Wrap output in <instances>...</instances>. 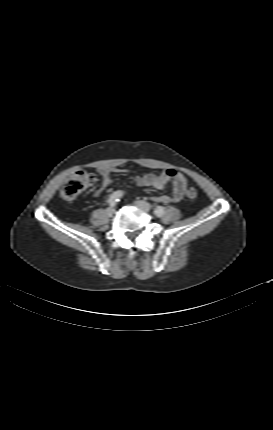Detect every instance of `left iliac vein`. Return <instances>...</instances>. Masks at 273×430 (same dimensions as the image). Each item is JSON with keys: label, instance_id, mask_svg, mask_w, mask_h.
<instances>
[{"label": "left iliac vein", "instance_id": "left-iliac-vein-1", "mask_svg": "<svg viewBox=\"0 0 273 430\" xmlns=\"http://www.w3.org/2000/svg\"><path fill=\"white\" fill-rule=\"evenodd\" d=\"M135 205L147 212L151 210L150 204L145 201H141V200L135 201Z\"/></svg>", "mask_w": 273, "mask_h": 430}]
</instances>
